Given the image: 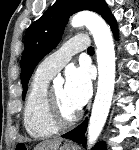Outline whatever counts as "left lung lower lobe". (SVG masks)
Wrapping results in <instances>:
<instances>
[{"instance_id":"0a47b994","label":"left lung lower lobe","mask_w":139,"mask_h":150,"mask_svg":"<svg viewBox=\"0 0 139 150\" xmlns=\"http://www.w3.org/2000/svg\"><path fill=\"white\" fill-rule=\"evenodd\" d=\"M104 19L111 26V29H112L115 37H117L118 36V30H117L116 20L110 11L108 12V14L106 15V17ZM86 129H87V120L83 121L78 127L73 129L72 131L62 135V137L67 138V139H71V140H73L77 143H80V144L83 143L85 145L84 134L86 132ZM93 150H105V145L103 143H100V144L96 145L93 148Z\"/></svg>"}]
</instances>
